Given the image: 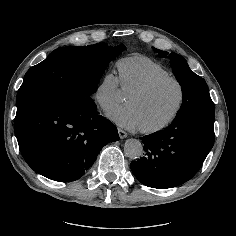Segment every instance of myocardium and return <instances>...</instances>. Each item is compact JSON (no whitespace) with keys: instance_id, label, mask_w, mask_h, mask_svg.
Segmentation results:
<instances>
[{"instance_id":"1","label":"myocardium","mask_w":236,"mask_h":236,"mask_svg":"<svg viewBox=\"0 0 236 236\" xmlns=\"http://www.w3.org/2000/svg\"><path fill=\"white\" fill-rule=\"evenodd\" d=\"M168 82H172V83L176 84L179 89L180 97H179V102H178L175 110L166 120H164L163 122H161L153 127H140V131L142 133H145V134L158 133V132L166 129L167 127H169L178 118V116L180 115V113L184 107V103H185V99H186L185 87L179 79L171 76V77H163V78L155 79V80L151 81L150 83H148L147 85H145L139 89H136L129 94V95H134V96H144V95L149 94L154 89L161 86L162 84H165Z\"/></svg>"}]
</instances>
